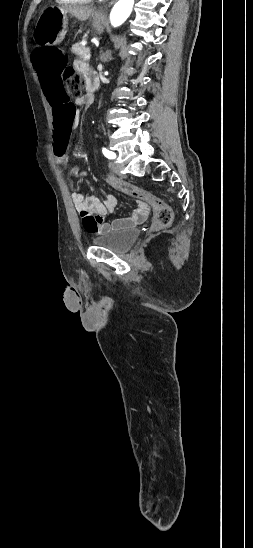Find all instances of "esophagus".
I'll list each match as a JSON object with an SVG mask.
<instances>
[{
    "label": "esophagus",
    "instance_id": "1",
    "mask_svg": "<svg viewBox=\"0 0 253 548\" xmlns=\"http://www.w3.org/2000/svg\"><path fill=\"white\" fill-rule=\"evenodd\" d=\"M115 1H116V0H112L104 9L99 10L98 13H97V15H98L99 17L103 16L104 11H105L108 7H110Z\"/></svg>",
    "mask_w": 253,
    "mask_h": 548
}]
</instances>
